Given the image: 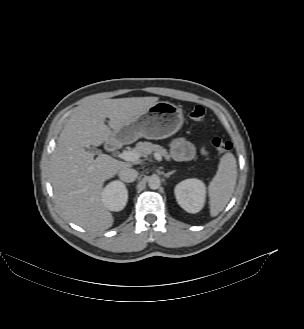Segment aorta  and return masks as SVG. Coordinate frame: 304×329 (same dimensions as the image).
I'll return each instance as SVG.
<instances>
[{
	"mask_svg": "<svg viewBox=\"0 0 304 329\" xmlns=\"http://www.w3.org/2000/svg\"><path fill=\"white\" fill-rule=\"evenodd\" d=\"M160 178L158 176H151L148 179V186L150 189L156 190L160 187Z\"/></svg>",
	"mask_w": 304,
	"mask_h": 329,
	"instance_id": "762f6f07",
	"label": "aorta"
}]
</instances>
